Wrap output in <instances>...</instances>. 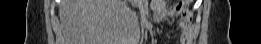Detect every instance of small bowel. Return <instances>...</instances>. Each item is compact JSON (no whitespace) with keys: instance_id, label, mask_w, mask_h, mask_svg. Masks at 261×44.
<instances>
[{"instance_id":"1","label":"small bowel","mask_w":261,"mask_h":44,"mask_svg":"<svg viewBox=\"0 0 261 44\" xmlns=\"http://www.w3.org/2000/svg\"><path fill=\"white\" fill-rule=\"evenodd\" d=\"M150 9L153 13L152 19L155 22L163 20L168 15L179 16L178 27L180 29L179 44H187L192 38L193 24L191 21V11L187 6L169 7L164 0H153L150 3Z\"/></svg>"}]
</instances>
